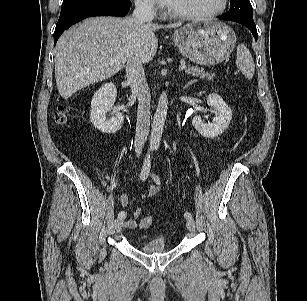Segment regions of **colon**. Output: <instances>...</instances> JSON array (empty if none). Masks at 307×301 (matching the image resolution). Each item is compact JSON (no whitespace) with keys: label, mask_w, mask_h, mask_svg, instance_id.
<instances>
[{"label":"colon","mask_w":307,"mask_h":301,"mask_svg":"<svg viewBox=\"0 0 307 301\" xmlns=\"http://www.w3.org/2000/svg\"><path fill=\"white\" fill-rule=\"evenodd\" d=\"M68 108L66 106H60L55 114V120L59 124H64L67 121ZM152 216H145L140 222L142 228H148L152 225Z\"/></svg>","instance_id":"1"}]
</instances>
